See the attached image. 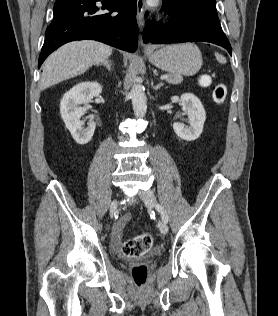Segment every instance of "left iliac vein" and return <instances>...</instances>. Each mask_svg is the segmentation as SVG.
I'll return each instance as SVG.
<instances>
[{
	"label": "left iliac vein",
	"mask_w": 278,
	"mask_h": 316,
	"mask_svg": "<svg viewBox=\"0 0 278 316\" xmlns=\"http://www.w3.org/2000/svg\"><path fill=\"white\" fill-rule=\"evenodd\" d=\"M140 198L144 202V204L146 205V207L148 209L154 208V206L156 204V197H155L153 191H151V190L142 191L140 193ZM159 230L164 235L168 233L169 229H168V225L165 221H160Z\"/></svg>",
	"instance_id": "1"
}]
</instances>
